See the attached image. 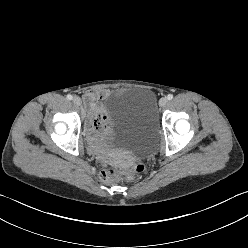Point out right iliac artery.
Returning a JSON list of instances; mask_svg holds the SVG:
<instances>
[{
  "label": "right iliac artery",
  "instance_id": "82829eb1",
  "mask_svg": "<svg viewBox=\"0 0 248 248\" xmlns=\"http://www.w3.org/2000/svg\"><path fill=\"white\" fill-rule=\"evenodd\" d=\"M72 98H73L72 95H70V94L67 95L68 100H71Z\"/></svg>",
  "mask_w": 248,
  "mask_h": 248
}]
</instances>
